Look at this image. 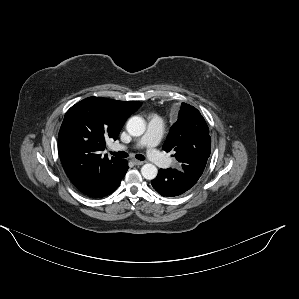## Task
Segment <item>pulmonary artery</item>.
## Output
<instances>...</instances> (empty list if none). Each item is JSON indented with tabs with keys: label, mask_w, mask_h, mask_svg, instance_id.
Masks as SVG:
<instances>
[{
	"label": "pulmonary artery",
	"mask_w": 299,
	"mask_h": 299,
	"mask_svg": "<svg viewBox=\"0 0 299 299\" xmlns=\"http://www.w3.org/2000/svg\"><path fill=\"white\" fill-rule=\"evenodd\" d=\"M164 128V121L161 117L154 115L149 119L146 133L132 146L117 144L113 146L114 150L124 151L129 148L145 149L147 158L156 165L167 166L169 160L165 158L157 149L162 131Z\"/></svg>",
	"instance_id": "e3ab8cb5"
}]
</instances>
